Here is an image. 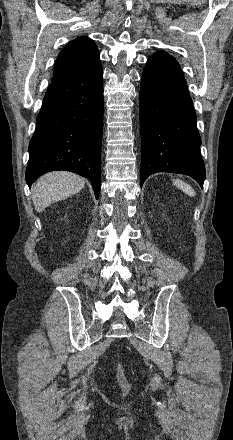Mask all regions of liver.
<instances>
[{"label": "liver", "mask_w": 233, "mask_h": 440, "mask_svg": "<svg viewBox=\"0 0 233 440\" xmlns=\"http://www.w3.org/2000/svg\"><path fill=\"white\" fill-rule=\"evenodd\" d=\"M85 186V179L71 172L57 171L41 176L32 187V200L37 212L62 201Z\"/></svg>", "instance_id": "6515ba94"}]
</instances>
